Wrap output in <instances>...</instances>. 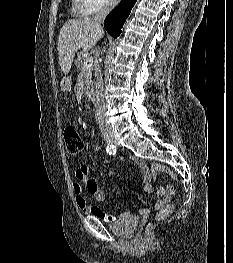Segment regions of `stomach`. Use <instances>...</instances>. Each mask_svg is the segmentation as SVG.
Instances as JSON below:
<instances>
[{
    "mask_svg": "<svg viewBox=\"0 0 233 263\" xmlns=\"http://www.w3.org/2000/svg\"><path fill=\"white\" fill-rule=\"evenodd\" d=\"M59 81H61L60 87L62 91H69L73 86L72 83H70L72 81L71 77H62L59 78Z\"/></svg>",
    "mask_w": 233,
    "mask_h": 263,
    "instance_id": "0dacf381",
    "label": "stomach"
}]
</instances>
